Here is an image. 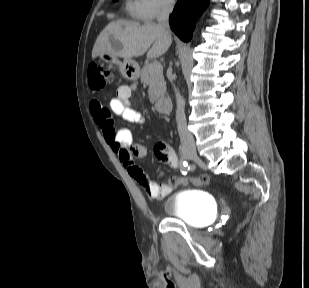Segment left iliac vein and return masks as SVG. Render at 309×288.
<instances>
[{"mask_svg": "<svg viewBox=\"0 0 309 288\" xmlns=\"http://www.w3.org/2000/svg\"><path fill=\"white\" fill-rule=\"evenodd\" d=\"M188 159H194L196 157V153L191 156H186Z\"/></svg>", "mask_w": 309, "mask_h": 288, "instance_id": "4c4485c4", "label": "left iliac vein"}]
</instances>
